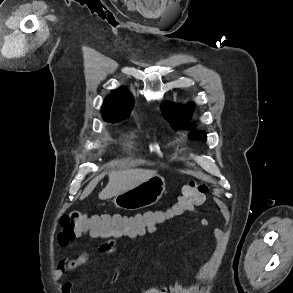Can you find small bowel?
Listing matches in <instances>:
<instances>
[{
    "mask_svg": "<svg viewBox=\"0 0 293 293\" xmlns=\"http://www.w3.org/2000/svg\"><path fill=\"white\" fill-rule=\"evenodd\" d=\"M201 204V203H200ZM199 204V205H200ZM153 212H146L142 215H137L140 218H148L152 216ZM201 224L205 227H210V237L209 242L211 240H214L216 243L220 242L223 236L222 231L219 228L211 227V222L208 218H202ZM157 226H152L147 229H142L137 232L132 233H125V234H118L109 236L107 238H104V241L101 242L98 247L97 251L102 254H115L117 252L116 247V240L121 237H128V238H137L142 237L146 235H150L155 232ZM90 260V256L88 253H81L75 258L71 259H64L61 260L57 268L54 272V279L56 281H62L61 283V291L62 293H73V285L70 277L68 276V273L87 264ZM204 271H201V273L197 276H195V279H197ZM118 279V274H115L112 278V281L115 282ZM198 288L197 284L193 283L191 285H183L181 283H174L169 286H163L161 288H150L155 290V293H192ZM144 293H150L149 290H146Z\"/></svg>",
    "mask_w": 293,
    "mask_h": 293,
    "instance_id": "1",
    "label": "small bowel"
}]
</instances>
